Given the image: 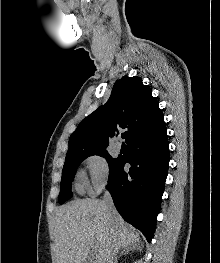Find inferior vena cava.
Masks as SVG:
<instances>
[{"instance_id":"1","label":"inferior vena cava","mask_w":220,"mask_h":263,"mask_svg":"<svg viewBox=\"0 0 220 263\" xmlns=\"http://www.w3.org/2000/svg\"><path fill=\"white\" fill-rule=\"evenodd\" d=\"M103 205H104V210L109 217H112L116 213V209H115L112 197L107 190H105L104 192ZM115 255L116 254H114V256L110 258L109 263H115V260H116Z\"/></svg>"}]
</instances>
